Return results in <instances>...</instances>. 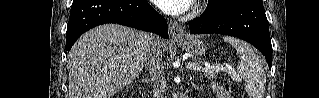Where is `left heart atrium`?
<instances>
[{
	"instance_id": "obj_1",
	"label": "left heart atrium",
	"mask_w": 319,
	"mask_h": 98,
	"mask_svg": "<svg viewBox=\"0 0 319 98\" xmlns=\"http://www.w3.org/2000/svg\"><path fill=\"white\" fill-rule=\"evenodd\" d=\"M155 4L165 13L178 15L187 12L193 6V0H155Z\"/></svg>"
}]
</instances>
